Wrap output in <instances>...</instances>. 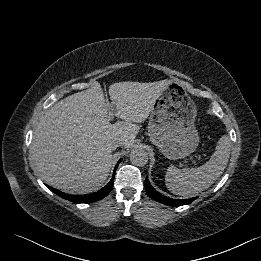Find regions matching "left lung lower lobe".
Instances as JSON below:
<instances>
[{"label":"left lung lower lobe","instance_id":"left-lung-lower-lobe-1","mask_svg":"<svg viewBox=\"0 0 261 261\" xmlns=\"http://www.w3.org/2000/svg\"><path fill=\"white\" fill-rule=\"evenodd\" d=\"M145 190L148 196L158 202L170 205V206H181V205H186L191 202H193L197 197L190 198V199H184V200H179V199H172L165 197L161 195L159 192H157L150 184L148 179L146 178L145 180Z\"/></svg>","mask_w":261,"mask_h":261}]
</instances>
